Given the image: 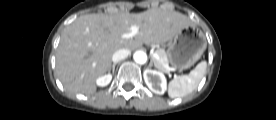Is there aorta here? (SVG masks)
<instances>
[{
    "label": "aorta",
    "mask_w": 276,
    "mask_h": 120,
    "mask_svg": "<svg viewBox=\"0 0 276 120\" xmlns=\"http://www.w3.org/2000/svg\"><path fill=\"white\" fill-rule=\"evenodd\" d=\"M133 59L138 64H145L147 61V54L144 51H136L133 55Z\"/></svg>",
    "instance_id": "762f6f07"
}]
</instances>
